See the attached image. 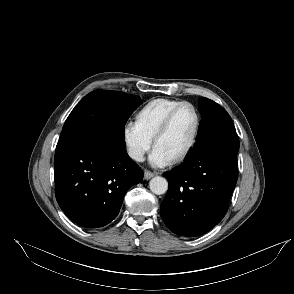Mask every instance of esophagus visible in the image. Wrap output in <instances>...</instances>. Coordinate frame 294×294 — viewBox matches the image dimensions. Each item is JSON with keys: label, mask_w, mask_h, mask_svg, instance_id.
I'll return each instance as SVG.
<instances>
[{"label": "esophagus", "mask_w": 294, "mask_h": 294, "mask_svg": "<svg viewBox=\"0 0 294 294\" xmlns=\"http://www.w3.org/2000/svg\"><path fill=\"white\" fill-rule=\"evenodd\" d=\"M155 175H156L155 173H153L147 169L144 170V178L146 180H149L150 178L154 177Z\"/></svg>", "instance_id": "obj_1"}]
</instances>
